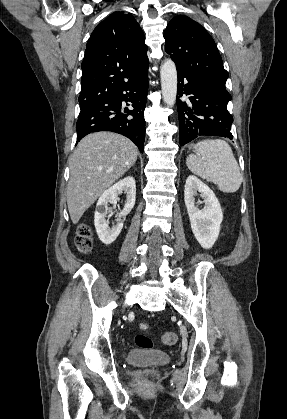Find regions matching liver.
Listing matches in <instances>:
<instances>
[{"label":"liver","instance_id":"6515ba94","mask_svg":"<svg viewBox=\"0 0 287 419\" xmlns=\"http://www.w3.org/2000/svg\"><path fill=\"white\" fill-rule=\"evenodd\" d=\"M138 149L131 140L113 132L84 137L70 159L67 205L73 224L115 181L136 162Z\"/></svg>","mask_w":287,"mask_h":419}]
</instances>
